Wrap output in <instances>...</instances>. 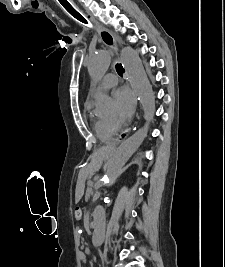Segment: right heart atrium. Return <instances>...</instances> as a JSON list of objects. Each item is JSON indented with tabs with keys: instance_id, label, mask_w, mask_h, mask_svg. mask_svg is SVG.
Here are the masks:
<instances>
[{
	"instance_id": "d8ad5b80",
	"label": "right heart atrium",
	"mask_w": 225,
	"mask_h": 267,
	"mask_svg": "<svg viewBox=\"0 0 225 267\" xmlns=\"http://www.w3.org/2000/svg\"><path fill=\"white\" fill-rule=\"evenodd\" d=\"M106 123H107V127H108V129L111 131V132H115L116 130H117V124L114 122V121H112V120H107L106 121Z\"/></svg>"
}]
</instances>
